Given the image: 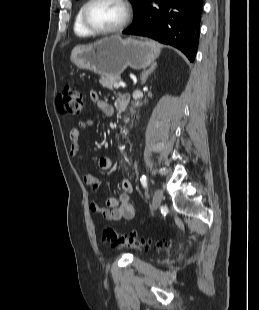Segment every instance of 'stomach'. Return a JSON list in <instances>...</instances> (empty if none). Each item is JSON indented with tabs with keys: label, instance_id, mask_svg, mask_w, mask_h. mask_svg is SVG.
I'll use <instances>...</instances> for the list:
<instances>
[{
	"label": "stomach",
	"instance_id": "obj_1",
	"mask_svg": "<svg viewBox=\"0 0 259 310\" xmlns=\"http://www.w3.org/2000/svg\"><path fill=\"white\" fill-rule=\"evenodd\" d=\"M160 49L153 41L105 37L93 44L78 45L71 61L80 69L106 76H119L127 67L144 69L159 57Z\"/></svg>",
	"mask_w": 259,
	"mask_h": 310
}]
</instances>
